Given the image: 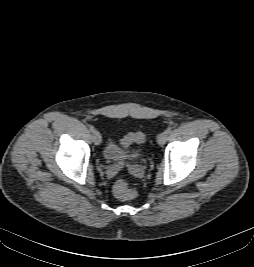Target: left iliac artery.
<instances>
[{"mask_svg":"<svg viewBox=\"0 0 254 267\" xmlns=\"http://www.w3.org/2000/svg\"><path fill=\"white\" fill-rule=\"evenodd\" d=\"M171 131H172V128H171V127H169V128H167V129H166V131H165V132H166L167 134H169V133H171Z\"/></svg>","mask_w":254,"mask_h":267,"instance_id":"44dca946","label":"left iliac artery"}]
</instances>
